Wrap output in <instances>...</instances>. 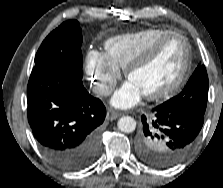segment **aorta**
I'll list each match as a JSON object with an SVG mask.
<instances>
[{"instance_id": "obj_1", "label": "aorta", "mask_w": 223, "mask_h": 188, "mask_svg": "<svg viewBox=\"0 0 223 188\" xmlns=\"http://www.w3.org/2000/svg\"><path fill=\"white\" fill-rule=\"evenodd\" d=\"M118 128L122 132L130 133L133 132L136 128V121L130 116H123L118 120Z\"/></svg>"}]
</instances>
